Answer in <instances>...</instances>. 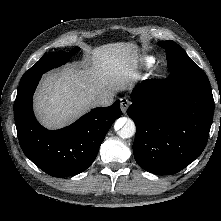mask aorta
Masks as SVG:
<instances>
[{"label":"aorta","mask_w":221,"mask_h":221,"mask_svg":"<svg viewBox=\"0 0 221 221\" xmlns=\"http://www.w3.org/2000/svg\"><path fill=\"white\" fill-rule=\"evenodd\" d=\"M115 131L123 139L131 138L136 132L134 122L126 117L119 118L114 125Z\"/></svg>","instance_id":"762f6f07"}]
</instances>
